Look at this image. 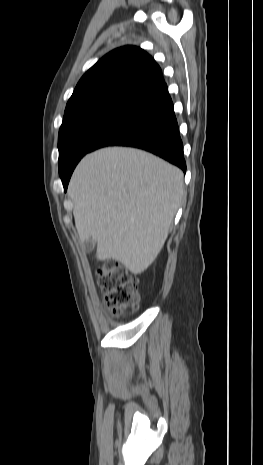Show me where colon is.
Wrapping results in <instances>:
<instances>
[{
  "mask_svg": "<svg viewBox=\"0 0 263 465\" xmlns=\"http://www.w3.org/2000/svg\"><path fill=\"white\" fill-rule=\"evenodd\" d=\"M100 288L105 292L106 302L115 316L133 309L139 302L137 280L133 279L119 263L110 261L97 269Z\"/></svg>",
  "mask_w": 263,
  "mask_h": 465,
  "instance_id": "1",
  "label": "colon"
}]
</instances>
